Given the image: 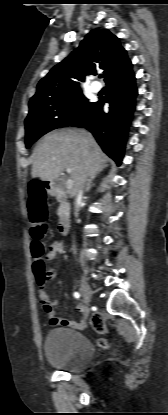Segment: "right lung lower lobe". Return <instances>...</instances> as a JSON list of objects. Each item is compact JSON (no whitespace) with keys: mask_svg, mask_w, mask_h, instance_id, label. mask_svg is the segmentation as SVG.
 <instances>
[{"mask_svg":"<svg viewBox=\"0 0 168 415\" xmlns=\"http://www.w3.org/2000/svg\"><path fill=\"white\" fill-rule=\"evenodd\" d=\"M132 64L110 78L106 83L108 94L95 102L93 107L70 126L88 129L103 151L121 164L127 138L128 127L134 110L137 89ZM104 103H109V112L103 111Z\"/></svg>","mask_w":168,"mask_h":415,"instance_id":"obj_1","label":"right lung lower lobe"}]
</instances>
